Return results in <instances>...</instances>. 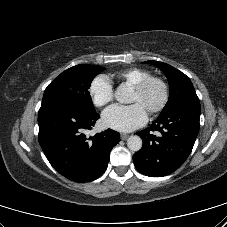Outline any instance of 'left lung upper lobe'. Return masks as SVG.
Wrapping results in <instances>:
<instances>
[{
	"label": "left lung upper lobe",
	"instance_id": "5c2ea615",
	"mask_svg": "<svg viewBox=\"0 0 227 227\" xmlns=\"http://www.w3.org/2000/svg\"><path fill=\"white\" fill-rule=\"evenodd\" d=\"M159 67L166 75L170 86V95L167 104L162 110L160 116L166 115L175 108L186 103H199L195 89L190 79L176 68L159 61H146Z\"/></svg>",
	"mask_w": 227,
	"mask_h": 227
}]
</instances>
